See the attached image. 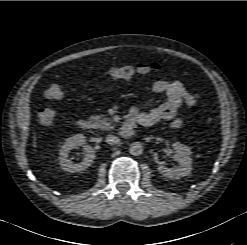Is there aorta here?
I'll return each mask as SVG.
<instances>
[{
  "label": "aorta",
  "instance_id": "1",
  "mask_svg": "<svg viewBox=\"0 0 247 245\" xmlns=\"http://www.w3.org/2000/svg\"><path fill=\"white\" fill-rule=\"evenodd\" d=\"M143 145L140 142H133L130 144L129 153L133 156H139L143 153Z\"/></svg>",
  "mask_w": 247,
  "mask_h": 245
}]
</instances>
